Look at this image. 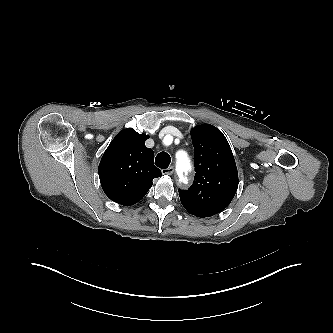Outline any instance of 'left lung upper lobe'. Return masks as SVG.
Wrapping results in <instances>:
<instances>
[{"instance_id": "1", "label": "left lung upper lobe", "mask_w": 333, "mask_h": 333, "mask_svg": "<svg viewBox=\"0 0 333 333\" xmlns=\"http://www.w3.org/2000/svg\"><path fill=\"white\" fill-rule=\"evenodd\" d=\"M195 149V178L188 190H178L190 214L213 216L232 201L238 188V172L229 143L213 125L191 130Z\"/></svg>"}]
</instances>
